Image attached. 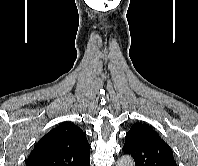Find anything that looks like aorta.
Listing matches in <instances>:
<instances>
[{
    "instance_id": "1",
    "label": "aorta",
    "mask_w": 198,
    "mask_h": 166,
    "mask_svg": "<svg viewBox=\"0 0 198 166\" xmlns=\"http://www.w3.org/2000/svg\"><path fill=\"white\" fill-rule=\"evenodd\" d=\"M117 166H134V160L129 155H124L117 162Z\"/></svg>"
}]
</instances>
